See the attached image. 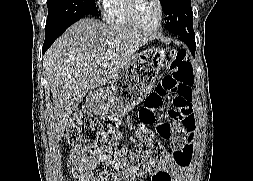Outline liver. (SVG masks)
<instances>
[{"label":"liver","instance_id":"6515ba94","mask_svg":"<svg viewBox=\"0 0 253 181\" xmlns=\"http://www.w3.org/2000/svg\"><path fill=\"white\" fill-rule=\"evenodd\" d=\"M156 34L96 19L74 23L47 50L46 78L53 95L52 128L56 140L86 93L105 85ZM108 52L113 58H106Z\"/></svg>","mask_w":253,"mask_h":181}]
</instances>
